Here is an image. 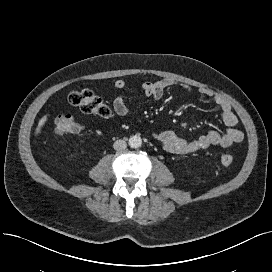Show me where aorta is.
<instances>
[{"label": "aorta", "instance_id": "obj_1", "mask_svg": "<svg viewBox=\"0 0 272 272\" xmlns=\"http://www.w3.org/2000/svg\"><path fill=\"white\" fill-rule=\"evenodd\" d=\"M128 143L131 148H139L142 145V139L138 135H133L129 138Z\"/></svg>", "mask_w": 272, "mask_h": 272}]
</instances>
